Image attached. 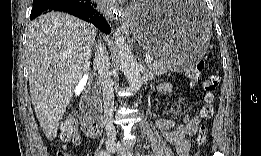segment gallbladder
I'll return each instance as SVG.
<instances>
[{
  "mask_svg": "<svg viewBox=\"0 0 261 156\" xmlns=\"http://www.w3.org/2000/svg\"><path fill=\"white\" fill-rule=\"evenodd\" d=\"M89 75H84L81 77V80H78L77 86L75 87V95L74 96H79L82 93V90L85 89V85L87 84V82H89Z\"/></svg>",
  "mask_w": 261,
  "mask_h": 156,
  "instance_id": "obj_1",
  "label": "gallbladder"
}]
</instances>
